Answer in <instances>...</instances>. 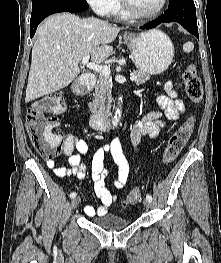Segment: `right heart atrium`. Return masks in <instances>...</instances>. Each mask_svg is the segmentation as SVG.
<instances>
[{
    "label": "right heart atrium",
    "mask_w": 221,
    "mask_h": 263,
    "mask_svg": "<svg viewBox=\"0 0 221 263\" xmlns=\"http://www.w3.org/2000/svg\"><path fill=\"white\" fill-rule=\"evenodd\" d=\"M88 5L99 15L113 13L118 0H86Z\"/></svg>",
    "instance_id": "right-heart-atrium-1"
}]
</instances>
